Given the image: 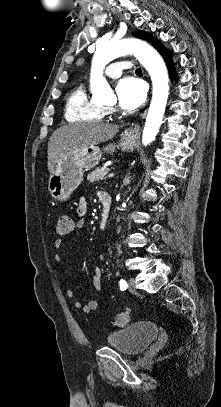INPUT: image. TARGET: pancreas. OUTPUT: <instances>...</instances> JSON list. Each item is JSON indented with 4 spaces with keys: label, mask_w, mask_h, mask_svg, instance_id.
<instances>
[{
    "label": "pancreas",
    "mask_w": 221,
    "mask_h": 407,
    "mask_svg": "<svg viewBox=\"0 0 221 407\" xmlns=\"http://www.w3.org/2000/svg\"><path fill=\"white\" fill-rule=\"evenodd\" d=\"M110 171L106 167H98L94 171L88 174L87 180L90 183L99 182L105 178V175Z\"/></svg>",
    "instance_id": "pancreas-1"
}]
</instances>
